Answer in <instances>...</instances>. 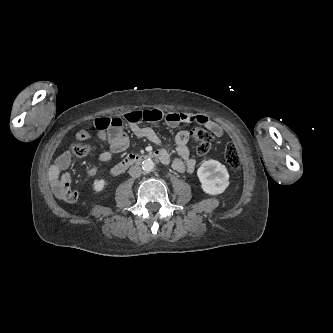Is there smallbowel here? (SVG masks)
<instances>
[{"instance_id": "1", "label": "small bowel", "mask_w": 333, "mask_h": 333, "mask_svg": "<svg viewBox=\"0 0 333 333\" xmlns=\"http://www.w3.org/2000/svg\"><path fill=\"white\" fill-rule=\"evenodd\" d=\"M157 117H160L157 119ZM171 127H176L181 124L198 123L205 126L215 137L223 135L222 127L212 121L208 116L203 114H193L187 112H166L163 113L159 109L137 110L130 111L125 114V121L128 130L137 138L147 139L150 142L163 146L157 150L162 158V163L170 164L172 168L178 172H194L196 168L195 160L190 156L189 139L190 132L182 130L175 136L176 151L179 158L171 159L167 151V146L163 145L157 133L150 127L141 126L144 121L154 122L160 119ZM77 139L86 141L90 138V134L81 130L76 135ZM99 140L107 141L109 149L100 155V160L103 162H110L114 159L115 154L123 152L129 144V139L123 128L118 130L99 131L97 134ZM71 164V154L69 151L63 152L55 162L50 166L48 172V180L52 187L55 196L61 200L74 203L79 198V193L72 190L71 176L68 169ZM96 167L91 165L87 169L90 176L96 174Z\"/></svg>"}]
</instances>
